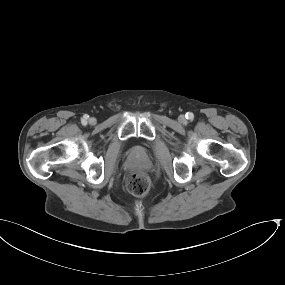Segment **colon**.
I'll list each match as a JSON object with an SVG mask.
<instances>
[{
  "mask_svg": "<svg viewBox=\"0 0 285 285\" xmlns=\"http://www.w3.org/2000/svg\"><path fill=\"white\" fill-rule=\"evenodd\" d=\"M126 187L131 194L137 197H145L150 191L151 180L143 172H133L127 176Z\"/></svg>",
  "mask_w": 285,
  "mask_h": 285,
  "instance_id": "5ec220e1",
  "label": "colon"
}]
</instances>
